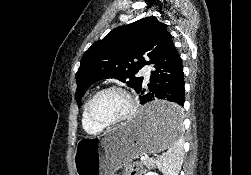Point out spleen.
Instances as JSON below:
<instances>
[{"mask_svg":"<svg viewBox=\"0 0 251 175\" xmlns=\"http://www.w3.org/2000/svg\"><path fill=\"white\" fill-rule=\"evenodd\" d=\"M181 113V107H173L166 117V127L172 145L165 155H162L155 161L163 175H178L181 169L183 161V143L180 127Z\"/></svg>","mask_w":251,"mask_h":175,"instance_id":"spleen-1","label":"spleen"}]
</instances>
